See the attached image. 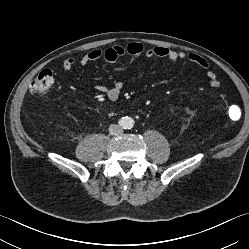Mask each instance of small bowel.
<instances>
[{"instance_id": "small-bowel-1", "label": "small bowel", "mask_w": 249, "mask_h": 249, "mask_svg": "<svg viewBox=\"0 0 249 249\" xmlns=\"http://www.w3.org/2000/svg\"><path fill=\"white\" fill-rule=\"evenodd\" d=\"M123 56H128L131 60L139 57L165 59L169 63V69L171 72L176 69L181 60H188L203 69H208L207 61L196 53H188L163 46H155L153 48L146 49L144 45L139 42L130 43L126 46H112L104 50L98 48L91 49L80 58L79 63L81 65H87L103 59L109 64H115ZM75 64L76 59L72 57L65 58L62 61V68L65 71H69ZM124 69L125 66H118L114 68V79L112 85H97L95 88L96 91L105 95L110 101H117L123 90V84L118 79V76ZM207 78L211 87L218 88L220 86V80L213 71L207 72Z\"/></svg>"}]
</instances>
